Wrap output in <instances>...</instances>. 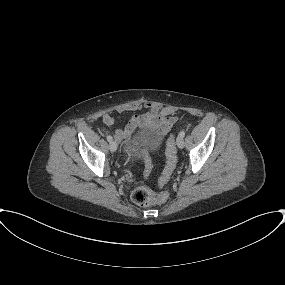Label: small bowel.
Wrapping results in <instances>:
<instances>
[{"label": "small bowel", "mask_w": 285, "mask_h": 285, "mask_svg": "<svg viewBox=\"0 0 285 285\" xmlns=\"http://www.w3.org/2000/svg\"><path fill=\"white\" fill-rule=\"evenodd\" d=\"M145 110L142 114L133 115L128 123L122 128H116L114 131V137L117 141L131 136L138 126L143 128H153L158 130L161 134L168 133L176 122L174 116L160 115L159 109L152 103H130L120 104L115 108L116 113H124L127 111ZM102 122L107 127H113L115 125V117L113 113H104L102 116Z\"/></svg>", "instance_id": "c3829d8e"}]
</instances>
